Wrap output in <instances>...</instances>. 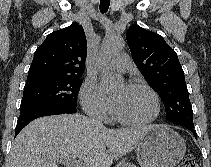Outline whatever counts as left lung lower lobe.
Segmentation results:
<instances>
[{"instance_id": "left-lung-lower-lobe-1", "label": "left lung lower lobe", "mask_w": 211, "mask_h": 167, "mask_svg": "<svg viewBox=\"0 0 211 167\" xmlns=\"http://www.w3.org/2000/svg\"><path fill=\"white\" fill-rule=\"evenodd\" d=\"M181 126H183V127L187 128L188 130H190L194 134L195 138H197V134H196V132L194 130V125H181Z\"/></svg>"}]
</instances>
